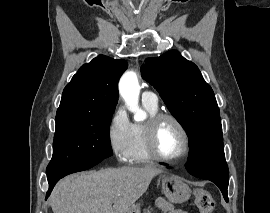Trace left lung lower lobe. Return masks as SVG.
<instances>
[{
	"label": "left lung lower lobe",
	"instance_id": "obj_1",
	"mask_svg": "<svg viewBox=\"0 0 270 213\" xmlns=\"http://www.w3.org/2000/svg\"><path fill=\"white\" fill-rule=\"evenodd\" d=\"M198 168H199L198 165L191 158H188V162L186 164V169L188 170V172L195 177L202 178ZM214 183L220 188L225 200L228 201V197H227L228 183L226 184H221L219 182H214Z\"/></svg>",
	"mask_w": 270,
	"mask_h": 213
}]
</instances>
